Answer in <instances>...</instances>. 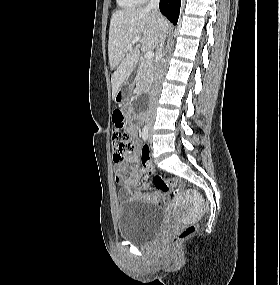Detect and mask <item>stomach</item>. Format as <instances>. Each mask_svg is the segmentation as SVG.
I'll return each mask as SVG.
<instances>
[{"label":"stomach","instance_id":"0dacf381","mask_svg":"<svg viewBox=\"0 0 280 285\" xmlns=\"http://www.w3.org/2000/svg\"><path fill=\"white\" fill-rule=\"evenodd\" d=\"M132 88H133V84L130 83L129 81H125L121 87L119 88V90L116 93V96L114 98V100L116 102H121L124 101L125 99H127L129 97V95L132 92Z\"/></svg>","mask_w":280,"mask_h":285}]
</instances>
